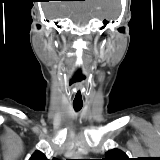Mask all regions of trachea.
I'll list each match as a JSON object with an SVG mask.
<instances>
[{
  "mask_svg": "<svg viewBox=\"0 0 160 160\" xmlns=\"http://www.w3.org/2000/svg\"><path fill=\"white\" fill-rule=\"evenodd\" d=\"M75 111H79L82 108V105H73Z\"/></svg>",
  "mask_w": 160,
  "mask_h": 160,
  "instance_id": "obj_1",
  "label": "trachea"
}]
</instances>
